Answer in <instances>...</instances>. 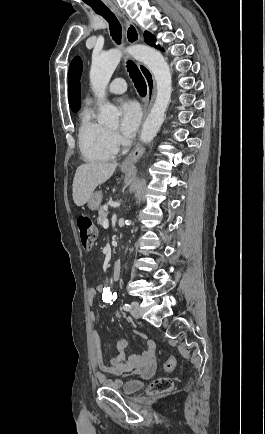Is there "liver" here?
Masks as SVG:
<instances>
[{"mask_svg":"<svg viewBox=\"0 0 265 434\" xmlns=\"http://www.w3.org/2000/svg\"><path fill=\"white\" fill-rule=\"evenodd\" d=\"M117 166V162H113V164L88 162V164L79 166L73 180V200L76 206H84L95 188L111 178Z\"/></svg>","mask_w":265,"mask_h":434,"instance_id":"1","label":"liver"}]
</instances>
